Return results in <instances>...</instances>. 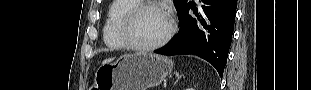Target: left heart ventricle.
Listing matches in <instances>:
<instances>
[{
  "mask_svg": "<svg viewBox=\"0 0 311 90\" xmlns=\"http://www.w3.org/2000/svg\"><path fill=\"white\" fill-rule=\"evenodd\" d=\"M168 27V18L163 11L146 9L136 19L132 35L138 44L149 45L160 40Z\"/></svg>",
  "mask_w": 311,
  "mask_h": 90,
  "instance_id": "b2bd125f",
  "label": "left heart ventricle"
}]
</instances>
